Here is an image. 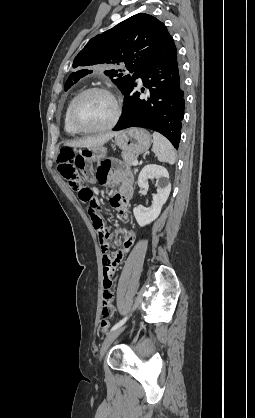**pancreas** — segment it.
<instances>
[{"label": "pancreas", "instance_id": "pancreas-1", "mask_svg": "<svg viewBox=\"0 0 255 418\" xmlns=\"http://www.w3.org/2000/svg\"><path fill=\"white\" fill-rule=\"evenodd\" d=\"M122 158L127 166H131L133 161L137 160V156L123 152Z\"/></svg>", "mask_w": 255, "mask_h": 418}]
</instances>
